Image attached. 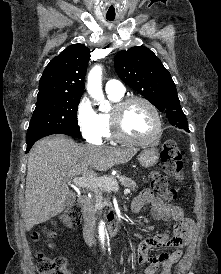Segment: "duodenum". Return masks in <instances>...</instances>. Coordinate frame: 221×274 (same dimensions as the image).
I'll list each match as a JSON object with an SVG mask.
<instances>
[{"label": "duodenum", "instance_id": "410a0bca", "mask_svg": "<svg viewBox=\"0 0 221 274\" xmlns=\"http://www.w3.org/2000/svg\"><path fill=\"white\" fill-rule=\"evenodd\" d=\"M78 203L84 209V220L85 225L83 229L85 240L88 244H92L94 242L93 239V224H94V216L89 209L90 199L88 195H81L78 199ZM107 231L110 236H116L120 232V226L118 221L116 220L113 214H109L108 218Z\"/></svg>", "mask_w": 221, "mask_h": 274}]
</instances>
